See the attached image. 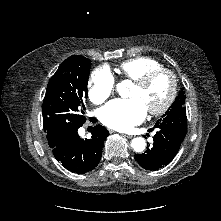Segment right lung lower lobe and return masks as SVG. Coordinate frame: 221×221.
<instances>
[{
  "instance_id": "right-lung-lower-lobe-1",
  "label": "right lung lower lobe",
  "mask_w": 221,
  "mask_h": 221,
  "mask_svg": "<svg viewBox=\"0 0 221 221\" xmlns=\"http://www.w3.org/2000/svg\"><path fill=\"white\" fill-rule=\"evenodd\" d=\"M95 121L96 119L92 118V122ZM77 131L78 128L48 144L52 148L54 157L62 166L69 171L84 174L98 165L104 140L109 132L105 127L97 125L93 129L90 139H82Z\"/></svg>"
}]
</instances>
